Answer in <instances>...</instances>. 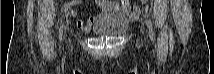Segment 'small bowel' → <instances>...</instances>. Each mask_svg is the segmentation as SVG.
Wrapping results in <instances>:
<instances>
[{
    "instance_id": "small-bowel-1",
    "label": "small bowel",
    "mask_w": 214,
    "mask_h": 74,
    "mask_svg": "<svg viewBox=\"0 0 214 74\" xmlns=\"http://www.w3.org/2000/svg\"><path fill=\"white\" fill-rule=\"evenodd\" d=\"M96 4L102 11H109L111 9H117L119 7L118 3L102 0L97 1ZM68 13L73 17H77L76 25L80 30L84 32L91 31L93 26L99 20V15L91 16L85 20L84 18L77 16V13L74 10L69 9ZM121 14L129 18H137L140 14V6H134L133 8H130L127 2H123L121 4Z\"/></svg>"
}]
</instances>
